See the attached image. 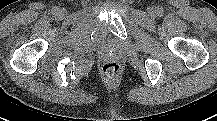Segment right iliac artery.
Listing matches in <instances>:
<instances>
[{
  "label": "right iliac artery",
  "mask_w": 217,
  "mask_h": 121,
  "mask_svg": "<svg viewBox=\"0 0 217 121\" xmlns=\"http://www.w3.org/2000/svg\"><path fill=\"white\" fill-rule=\"evenodd\" d=\"M53 13H54V14H57V13H58V9H57V8L54 9V10H53Z\"/></svg>",
  "instance_id": "right-iliac-artery-1"
}]
</instances>
